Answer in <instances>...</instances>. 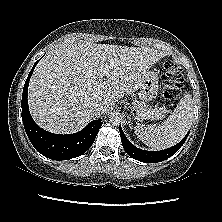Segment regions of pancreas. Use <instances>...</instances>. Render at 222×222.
Here are the masks:
<instances>
[{
  "mask_svg": "<svg viewBox=\"0 0 222 222\" xmlns=\"http://www.w3.org/2000/svg\"><path fill=\"white\" fill-rule=\"evenodd\" d=\"M134 107L140 112L143 116L154 117L158 119V116H163L162 112L160 113L158 109H153L151 106L140 103L136 100H133Z\"/></svg>",
  "mask_w": 222,
  "mask_h": 222,
  "instance_id": "cf45deb5",
  "label": "pancreas"
}]
</instances>
